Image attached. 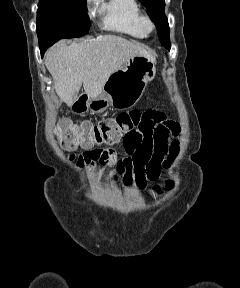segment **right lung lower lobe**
Instances as JSON below:
<instances>
[{
    "label": "right lung lower lobe",
    "instance_id": "right-lung-lower-lobe-1",
    "mask_svg": "<svg viewBox=\"0 0 240 288\" xmlns=\"http://www.w3.org/2000/svg\"><path fill=\"white\" fill-rule=\"evenodd\" d=\"M49 46H40V51H41V56L44 55L46 49L48 48Z\"/></svg>",
    "mask_w": 240,
    "mask_h": 288
}]
</instances>
